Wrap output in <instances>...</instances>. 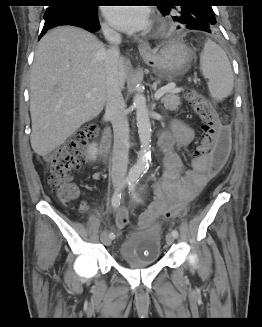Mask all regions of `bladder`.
Wrapping results in <instances>:
<instances>
[{"mask_svg": "<svg viewBox=\"0 0 262 327\" xmlns=\"http://www.w3.org/2000/svg\"><path fill=\"white\" fill-rule=\"evenodd\" d=\"M162 233L156 230H140L132 232L118 249L121 261L130 264L142 261L154 264L161 259Z\"/></svg>", "mask_w": 262, "mask_h": 327, "instance_id": "1", "label": "bladder"}]
</instances>
